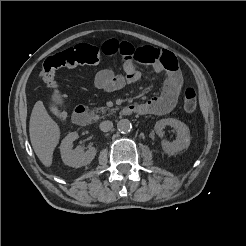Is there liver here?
Here are the masks:
<instances>
[{
    "instance_id": "6515ba94",
    "label": "liver",
    "mask_w": 246,
    "mask_h": 246,
    "mask_svg": "<svg viewBox=\"0 0 246 246\" xmlns=\"http://www.w3.org/2000/svg\"><path fill=\"white\" fill-rule=\"evenodd\" d=\"M32 147L46 167L52 165L53 152L59 143L60 128L50 117L42 101H37L32 109L29 122Z\"/></svg>"
}]
</instances>
